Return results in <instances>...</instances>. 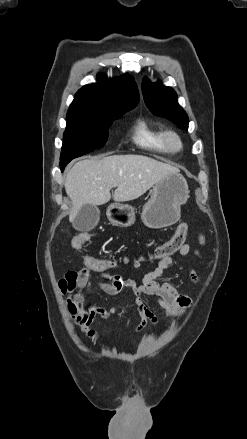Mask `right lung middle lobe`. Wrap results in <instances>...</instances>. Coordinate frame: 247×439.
I'll return each instance as SVG.
<instances>
[{
  "mask_svg": "<svg viewBox=\"0 0 247 439\" xmlns=\"http://www.w3.org/2000/svg\"><path fill=\"white\" fill-rule=\"evenodd\" d=\"M129 110L131 109L110 114L67 113V126L60 156L61 170L63 171L72 159L104 146L113 120Z\"/></svg>",
  "mask_w": 247,
  "mask_h": 439,
  "instance_id": "right-lung-middle-lobe-1",
  "label": "right lung middle lobe"
}]
</instances>
